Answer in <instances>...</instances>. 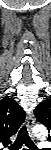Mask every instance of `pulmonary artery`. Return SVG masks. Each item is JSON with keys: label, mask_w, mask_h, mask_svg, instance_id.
Instances as JSON below:
<instances>
[{"label": "pulmonary artery", "mask_w": 51, "mask_h": 150, "mask_svg": "<svg viewBox=\"0 0 51 150\" xmlns=\"http://www.w3.org/2000/svg\"><path fill=\"white\" fill-rule=\"evenodd\" d=\"M48 145H49V144L46 143V142H44V143L41 144V146H48Z\"/></svg>", "instance_id": "1"}]
</instances>
